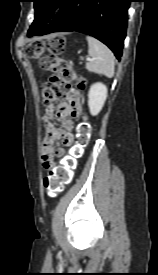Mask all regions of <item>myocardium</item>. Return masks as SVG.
I'll return each mask as SVG.
<instances>
[{"instance_id": "f54148a6", "label": "myocardium", "mask_w": 158, "mask_h": 275, "mask_svg": "<svg viewBox=\"0 0 158 275\" xmlns=\"http://www.w3.org/2000/svg\"><path fill=\"white\" fill-rule=\"evenodd\" d=\"M62 11V6L61 5H56L52 8V13L53 14H58Z\"/></svg>"}]
</instances>
